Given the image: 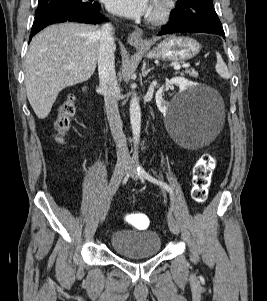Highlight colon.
I'll return each mask as SVG.
<instances>
[{
    "label": "colon",
    "mask_w": 267,
    "mask_h": 301,
    "mask_svg": "<svg viewBox=\"0 0 267 301\" xmlns=\"http://www.w3.org/2000/svg\"><path fill=\"white\" fill-rule=\"evenodd\" d=\"M74 112L75 107L73 98L68 97L60 106L58 116L54 123L55 139L57 142H63ZM216 165V158L210 154H205L194 166L192 177V198L197 203H203L207 200L212 174ZM126 219L136 228L140 229L147 227L149 224L148 217L142 213H130L126 216Z\"/></svg>",
    "instance_id": "colon-1"
}]
</instances>
